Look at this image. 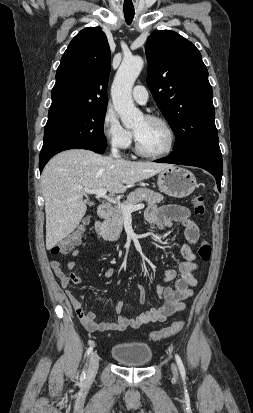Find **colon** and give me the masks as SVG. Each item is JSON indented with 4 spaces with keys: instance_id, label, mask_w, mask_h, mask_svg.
Wrapping results in <instances>:
<instances>
[{
    "instance_id": "colon-1",
    "label": "colon",
    "mask_w": 253,
    "mask_h": 413,
    "mask_svg": "<svg viewBox=\"0 0 253 413\" xmlns=\"http://www.w3.org/2000/svg\"><path fill=\"white\" fill-rule=\"evenodd\" d=\"M193 211L196 215H203L205 213V199L202 195H196L192 200ZM88 220L85 219L75 230L65 236L57 245H55L51 252L54 255L68 254L71 250L79 245L85 232V226ZM198 256L203 261L209 260L211 256V246L206 240H202L198 248ZM184 321L178 320L173 322L170 326L159 331H153L149 334V339L158 341L168 338L179 333L184 327Z\"/></svg>"
}]
</instances>
